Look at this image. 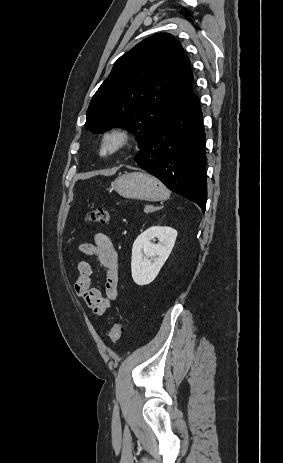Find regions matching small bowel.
<instances>
[{
    "mask_svg": "<svg viewBox=\"0 0 283 463\" xmlns=\"http://www.w3.org/2000/svg\"><path fill=\"white\" fill-rule=\"evenodd\" d=\"M80 253L96 259L106 271L104 290L92 287L91 265L80 260L77 265V276L74 283L76 295L83 299L96 315H103L118 297L120 266L118 253L111 239L105 233H97L94 243H83L78 247Z\"/></svg>",
    "mask_w": 283,
    "mask_h": 463,
    "instance_id": "c3829d8e",
    "label": "small bowel"
}]
</instances>
